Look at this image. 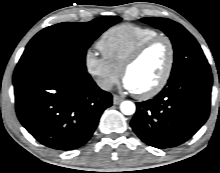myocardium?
I'll return each instance as SVG.
<instances>
[{"mask_svg":"<svg viewBox=\"0 0 220 173\" xmlns=\"http://www.w3.org/2000/svg\"><path fill=\"white\" fill-rule=\"evenodd\" d=\"M164 41L168 46L169 56H168V63L166 66V69L162 75V77L159 79V81L149 90L141 93H135L136 97L142 100H147L150 98L155 97L158 95L167 85L175 64V48L172 40L166 36V35H157L154 36L142 44H140L128 57L126 62L123 65L122 68V76L125 78L128 70L141 59V57L156 43Z\"/></svg>","mask_w":220,"mask_h":173,"instance_id":"f54148a6","label":"myocardium"}]
</instances>
